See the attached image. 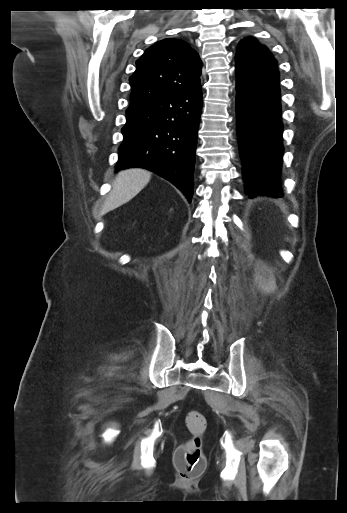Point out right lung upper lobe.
Returning <instances> with one entry per match:
<instances>
[{
	"mask_svg": "<svg viewBox=\"0 0 347 513\" xmlns=\"http://www.w3.org/2000/svg\"><path fill=\"white\" fill-rule=\"evenodd\" d=\"M130 78L131 105L201 89V61L183 40L168 38L148 48Z\"/></svg>",
	"mask_w": 347,
	"mask_h": 513,
	"instance_id": "cb5924a9",
	"label": "right lung upper lobe"
}]
</instances>
